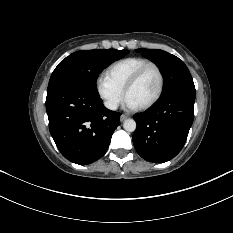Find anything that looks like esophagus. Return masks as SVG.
Masks as SVG:
<instances>
[{
  "label": "esophagus",
  "instance_id": "esophagus-1",
  "mask_svg": "<svg viewBox=\"0 0 233 233\" xmlns=\"http://www.w3.org/2000/svg\"><path fill=\"white\" fill-rule=\"evenodd\" d=\"M127 118H128L127 115L122 114V115L120 116V121L123 122V121L126 120Z\"/></svg>",
  "mask_w": 233,
  "mask_h": 233
}]
</instances>
